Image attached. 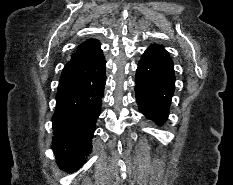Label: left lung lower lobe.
I'll list each match as a JSON object with an SVG mask.
<instances>
[{
    "label": "left lung lower lobe",
    "mask_w": 233,
    "mask_h": 185,
    "mask_svg": "<svg viewBox=\"0 0 233 185\" xmlns=\"http://www.w3.org/2000/svg\"><path fill=\"white\" fill-rule=\"evenodd\" d=\"M135 82L139 111L156 123H164L169 114L175 76L173 62L163 47L152 45L145 51Z\"/></svg>",
    "instance_id": "obj_1"
}]
</instances>
